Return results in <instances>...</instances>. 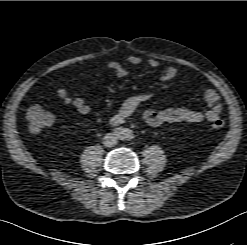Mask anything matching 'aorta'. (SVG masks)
Returning a JSON list of instances; mask_svg holds the SVG:
<instances>
[{
    "instance_id": "obj_1",
    "label": "aorta",
    "mask_w": 247,
    "mask_h": 245,
    "mask_svg": "<svg viewBox=\"0 0 247 245\" xmlns=\"http://www.w3.org/2000/svg\"><path fill=\"white\" fill-rule=\"evenodd\" d=\"M121 138L123 140H131V139H133L134 138L133 131L130 130V129H124L121 132Z\"/></svg>"
}]
</instances>
